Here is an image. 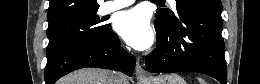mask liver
Here are the masks:
<instances>
[{
    "mask_svg": "<svg viewBox=\"0 0 260 84\" xmlns=\"http://www.w3.org/2000/svg\"><path fill=\"white\" fill-rule=\"evenodd\" d=\"M116 73L97 68H85L74 71L62 79L59 84H115Z\"/></svg>",
    "mask_w": 260,
    "mask_h": 84,
    "instance_id": "1",
    "label": "liver"
}]
</instances>
